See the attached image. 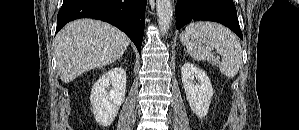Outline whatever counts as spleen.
Listing matches in <instances>:
<instances>
[{"mask_svg": "<svg viewBox=\"0 0 299 130\" xmlns=\"http://www.w3.org/2000/svg\"><path fill=\"white\" fill-rule=\"evenodd\" d=\"M180 41L195 60H215L211 52L215 49L222 56L220 72L228 78L238 73L242 49L237 37L228 28L214 22H192L180 34Z\"/></svg>", "mask_w": 299, "mask_h": 130, "instance_id": "1", "label": "spleen"}]
</instances>
